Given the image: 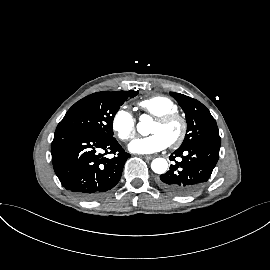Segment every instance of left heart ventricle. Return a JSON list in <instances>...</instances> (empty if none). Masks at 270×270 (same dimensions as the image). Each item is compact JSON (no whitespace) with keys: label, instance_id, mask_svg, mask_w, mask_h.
<instances>
[{"label":"left heart ventricle","instance_id":"left-heart-ventricle-1","mask_svg":"<svg viewBox=\"0 0 270 270\" xmlns=\"http://www.w3.org/2000/svg\"><path fill=\"white\" fill-rule=\"evenodd\" d=\"M180 130L181 125L177 121L168 124H161L155 121L151 126L150 132L162 135L170 143L177 138Z\"/></svg>","mask_w":270,"mask_h":270}]
</instances>
